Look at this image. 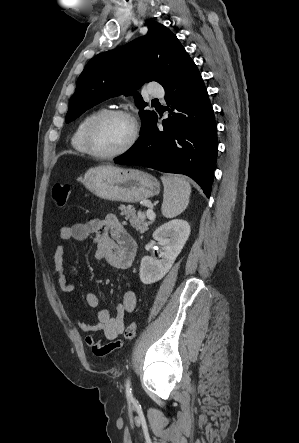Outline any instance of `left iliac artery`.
<instances>
[{
	"mask_svg": "<svg viewBox=\"0 0 299 443\" xmlns=\"http://www.w3.org/2000/svg\"><path fill=\"white\" fill-rule=\"evenodd\" d=\"M126 396L128 400H133V394H132V388H131V382L129 379L126 381Z\"/></svg>",
	"mask_w": 299,
	"mask_h": 443,
	"instance_id": "left-iliac-artery-1",
	"label": "left iliac artery"
}]
</instances>
